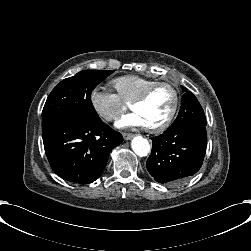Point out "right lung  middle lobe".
I'll list each match as a JSON object with an SVG mask.
<instances>
[{
  "mask_svg": "<svg viewBox=\"0 0 251 251\" xmlns=\"http://www.w3.org/2000/svg\"><path fill=\"white\" fill-rule=\"evenodd\" d=\"M113 72L114 70H84L58 83L44 105L42 129L69 116L99 120L91 102V93Z\"/></svg>",
  "mask_w": 251,
  "mask_h": 251,
  "instance_id": "1",
  "label": "right lung middle lobe"
}]
</instances>
